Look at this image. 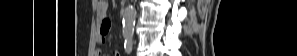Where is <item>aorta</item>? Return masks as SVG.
<instances>
[{
    "mask_svg": "<svg viewBox=\"0 0 297 56\" xmlns=\"http://www.w3.org/2000/svg\"><path fill=\"white\" fill-rule=\"evenodd\" d=\"M135 10L133 6H127L123 14V30L126 34H132L135 24Z\"/></svg>",
    "mask_w": 297,
    "mask_h": 56,
    "instance_id": "obj_1",
    "label": "aorta"
}]
</instances>
